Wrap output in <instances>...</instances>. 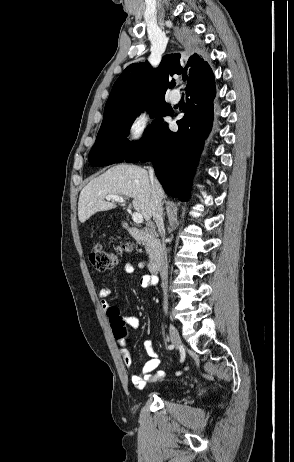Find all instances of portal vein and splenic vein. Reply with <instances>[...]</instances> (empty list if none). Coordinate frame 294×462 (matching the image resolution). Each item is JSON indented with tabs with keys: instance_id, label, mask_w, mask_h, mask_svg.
Masks as SVG:
<instances>
[{
	"instance_id": "1",
	"label": "portal vein and splenic vein",
	"mask_w": 294,
	"mask_h": 462,
	"mask_svg": "<svg viewBox=\"0 0 294 462\" xmlns=\"http://www.w3.org/2000/svg\"><path fill=\"white\" fill-rule=\"evenodd\" d=\"M105 198L107 200H112V201H116V202H120V203L125 202L124 198L122 196H118V195H107ZM132 219L137 224H141L143 222V216H142L141 213H138V212H134L132 214Z\"/></svg>"
}]
</instances>
